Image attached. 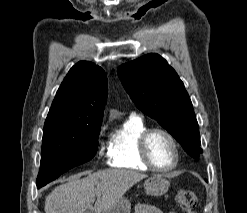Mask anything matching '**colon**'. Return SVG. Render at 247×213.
I'll use <instances>...</instances> for the list:
<instances>
[{
  "mask_svg": "<svg viewBox=\"0 0 247 213\" xmlns=\"http://www.w3.org/2000/svg\"><path fill=\"white\" fill-rule=\"evenodd\" d=\"M176 203L181 210L187 213H193L197 199L192 190L182 189L177 194Z\"/></svg>",
  "mask_w": 247,
  "mask_h": 213,
  "instance_id": "colon-1",
  "label": "colon"
}]
</instances>
